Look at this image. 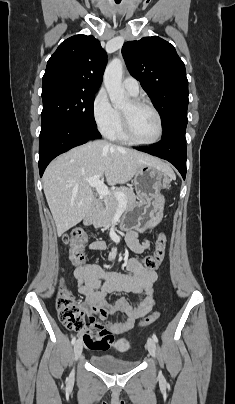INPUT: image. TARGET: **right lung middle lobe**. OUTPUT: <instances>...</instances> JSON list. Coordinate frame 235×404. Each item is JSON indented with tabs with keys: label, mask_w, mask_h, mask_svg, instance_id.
<instances>
[{
	"label": "right lung middle lobe",
	"mask_w": 235,
	"mask_h": 404,
	"mask_svg": "<svg viewBox=\"0 0 235 404\" xmlns=\"http://www.w3.org/2000/svg\"><path fill=\"white\" fill-rule=\"evenodd\" d=\"M95 94L62 84L42 86L41 126L72 123L97 129L93 114Z\"/></svg>",
	"instance_id": "dd1d6c3e"
}]
</instances>
